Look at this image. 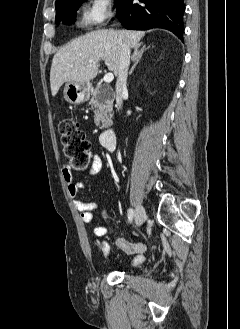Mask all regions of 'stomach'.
I'll return each instance as SVG.
<instances>
[{
	"label": "stomach",
	"instance_id": "stomach-1",
	"mask_svg": "<svg viewBox=\"0 0 240 329\" xmlns=\"http://www.w3.org/2000/svg\"><path fill=\"white\" fill-rule=\"evenodd\" d=\"M89 92V83L67 82L64 87V98L69 103L77 105L87 100Z\"/></svg>",
	"mask_w": 240,
	"mask_h": 329
}]
</instances>
